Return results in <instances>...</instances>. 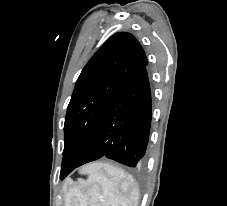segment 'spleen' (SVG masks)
I'll return each mask as SVG.
<instances>
[{
	"instance_id": "spleen-1",
	"label": "spleen",
	"mask_w": 227,
	"mask_h": 206,
	"mask_svg": "<svg viewBox=\"0 0 227 206\" xmlns=\"http://www.w3.org/2000/svg\"><path fill=\"white\" fill-rule=\"evenodd\" d=\"M87 181H80L65 193V206H137L139 188L122 169L99 163L85 170Z\"/></svg>"
}]
</instances>
